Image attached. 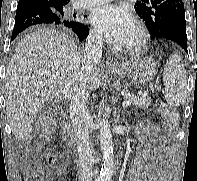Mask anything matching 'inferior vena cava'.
<instances>
[{
	"label": "inferior vena cava",
	"mask_w": 197,
	"mask_h": 181,
	"mask_svg": "<svg viewBox=\"0 0 197 181\" xmlns=\"http://www.w3.org/2000/svg\"><path fill=\"white\" fill-rule=\"evenodd\" d=\"M103 38L97 32H91L87 36L82 70L89 72L98 65L102 57ZM88 89L81 79L75 89L69 106V114L72 119L74 136L77 144L80 175L79 181H92V151L89 143V127L91 124L87 110Z\"/></svg>",
	"instance_id": "obj_1"
}]
</instances>
